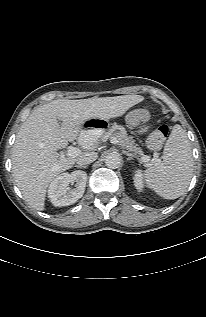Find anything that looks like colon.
<instances>
[{"instance_id": "1", "label": "colon", "mask_w": 206, "mask_h": 317, "mask_svg": "<svg viewBox=\"0 0 206 317\" xmlns=\"http://www.w3.org/2000/svg\"><path fill=\"white\" fill-rule=\"evenodd\" d=\"M126 121L130 126H142L150 121V113L145 108H138L127 115ZM168 131L169 129L167 125H161L156 128L149 136V146L153 149L159 148L164 142Z\"/></svg>"}]
</instances>
